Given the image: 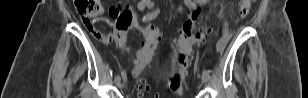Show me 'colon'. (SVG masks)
<instances>
[{"mask_svg":"<svg viewBox=\"0 0 308 98\" xmlns=\"http://www.w3.org/2000/svg\"><path fill=\"white\" fill-rule=\"evenodd\" d=\"M256 0H242L239 3L237 14L239 17H246L250 11L251 5ZM74 5L79 13L81 20L88 30H94L92 19L102 13V5L99 0H74ZM138 13V12H137ZM202 11L200 8L195 9L190 18L184 23L182 42H185L189 47L198 45L203 41L205 35L210 32V28L200 24L199 19ZM110 16L117 21L115 30L111 33H100L94 31V35L102 42L114 41L115 44L124 49L126 46L128 31H141L146 40L143 49L139 55L136 73H140L151 61L154 51L159 42V34L157 32L156 24H145L144 21L133 24L137 21V16L134 14L131 2H120L110 9ZM192 59L190 48L180 53L175 59V72L171 75V87L179 91L182 83V78L186 73L188 66ZM141 89L146 87L141 83Z\"/></svg>","mask_w":308,"mask_h":98,"instance_id":"1","label":"colon"}]
</instances>
